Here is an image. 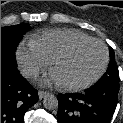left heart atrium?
<instances>
[{
  "mask_svg": "<svg viewBox=\"0 0 123 123\" xmlns=\"http://www.w3.org/2000/svg\"><path fill=\"white\" fill-rule=\"evenodd\" d=\"M42 83H44V84H52V83L61 84L58 76L56 75V73L54 71L49 76L45 77L42 80Z\"/></svg>",
  "mask_w": 123,
  "mask_h": 123,
  "instance_id": "39dd6f15",
  "label": "left heart atrium"
}]
</instances>
